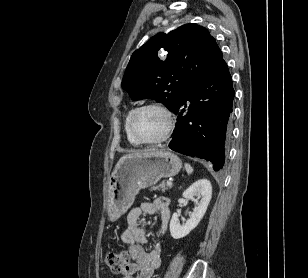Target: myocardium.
Returning <instances> with one entry per match:
<instances>
[{"mask_svg":"<svg viewBox=\"0 0 308 278\" xmlns=\"http://www.w3.org/2000/svg\"><path fill=\"white\" fill-rule=\"evenodd\" d=\"M147 108L158 109L161 112H163V114L166 117L167 126H166V129H165V132L159 138L145 139V138L141 137L140 135H138L136 133L135 129H134L133 121H134L136 114L138 112H140L141 110L147 109ZM128 129H129V132L132 135V137L136 141H138L140 144H149V145L159 144V143L166 141L170 137V135H171V133L174 129V119H173L171 111L166 106H164L163 104L157 103V102L145 103V104L139 105L138 107L134 108L131 111L129 118H128Z\"/></svg>","mask_w":308,"mask_h":278,"instance_id":"f54148a6","label":"myocardium"}]
</instances>
